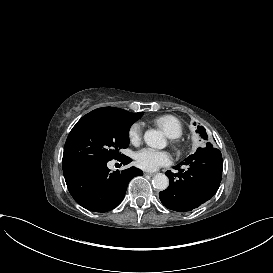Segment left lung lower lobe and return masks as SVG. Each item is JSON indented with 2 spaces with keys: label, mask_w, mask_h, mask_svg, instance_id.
<instances>
[{
  "label": "left lung lower lobe",
  "mask_w": 273,
  "mask_h": 273,
  "mask_svg": "<svg viewBox=\"0 0 273 273\" xmlns=\"http://www.w3.org/2000/svg\"><path fill=\"white\" fill-rule=\"evenodd\" d=\"M187 166L180 169V166ZM223 161L217 148H198L184 162L165 174L170 179L169 187L159 193L162 204L177 212H187L211 199L219 188ZM177 177V178H175Z\"/></svg>",
  "instance_id": "0a47b994"
}]
</instances>
